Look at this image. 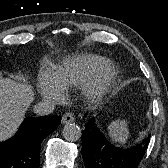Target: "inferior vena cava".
<instances>
[{
    "label": "inferior vena cava",
    "mask_w": 168,
    "mask_h": 168,
    "mask_svg": "<svg viewBox=\"0 0 168 168\" xmlns=\"http://www.w3.org/2000/svg\"><path fill=\"white\" fill-rule=\"evenodd\" d=\"M55 105L50 101H41L37 103L33 110L34 113L40 116L49 115L54 111Z\"/></svg>",
    "instance_id": "obj_1"
}]
</instances>
